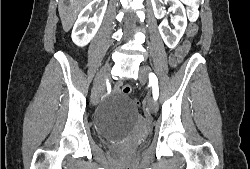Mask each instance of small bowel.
<instances>
[{"instance_id": "small-bowel-1", "label": "small bowel", "mask_w": 250, "mask_h": 169, "mask_svg": "<svg viewBox=\"0 0 250 169\" xmlns=\"http://www.w3.org/2000/svg\"><path fill=\"white\" fill-rule=\"evenodd\" d=\"M188 51V45H183L181 46L178 51H177V56L178 58H182ZM122 83H119V86L121 85Z\"/></svg>"}]
</instances>
